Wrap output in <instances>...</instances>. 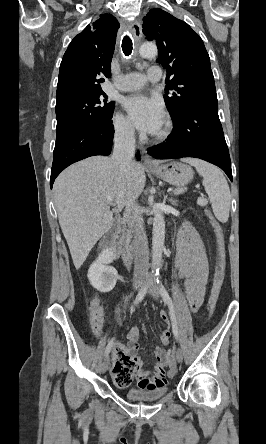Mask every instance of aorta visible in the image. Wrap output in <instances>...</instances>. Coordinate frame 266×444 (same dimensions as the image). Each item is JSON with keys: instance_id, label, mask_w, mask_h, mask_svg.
Masks as SVG:
<instances>
[{"instance_id": "aorta-1", "label": "aorta", "mask_w": 266, "mask_h": 444, "mask_svg": "<svg viewBox=\"0 0 266 444\" xmlns=\"http://www.w3.org/2000/svg\"><path fill=\"white\" fill-rule=\"evenodd\" d=\"M139 53L143 58H152L157 54V47L153 43H145L140 47ZM152 234V264L154 268H158L165 242V220L160 210L155 211Z\"/></svg>"}]
</instances>
